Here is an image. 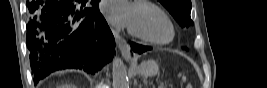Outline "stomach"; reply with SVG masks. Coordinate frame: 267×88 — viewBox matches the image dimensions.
I'll use <instances>...</instances> for the list:
<instances>
[{"mask_svg": "<svg viewBox=\"0 0 267 88\" xmlns=\"http://www.w3.org/2000/svg\"><path fill=\"white\" fill-rule=\"evenodd\" d=\"M159 71L158 63L154 60H147L142 62L137 67V72L145 77L155 76Z\"/></svg>", "mask_w": 267, "mask_h": 88, "instance_id": "stomach-1", "label": "stomach"}]
</instances>
